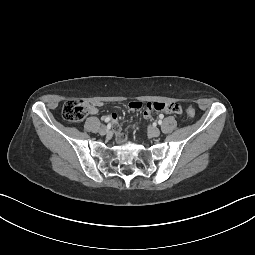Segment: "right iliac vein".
Segmentation results:
<instances>
[{
  "label": "right iliac vein",
  "mask_w": 255,
  "mask_h": 255,
  "mask_svg": "<svg viewBox=\"0 0 255 255\" xmlns=\"http://www.w3.org/2000/svg\"><path fill=\"white\" fill-rule=\"evenodd\" d=\"M108 132H109V129H108L107 126H102V127L100 128V130H99V133H100L101 135H106Z\"/></svg>",
  "instance_id": "obj_1"
}]
</instances>
